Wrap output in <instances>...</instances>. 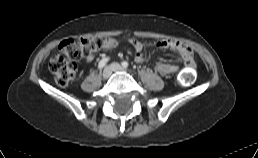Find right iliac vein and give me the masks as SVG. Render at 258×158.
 <instances>
[{
    "label": "right iliac vein",
    "mask_w": 258,
    "mask_h": 158,
    "mask_svg": "<svg viewBox=\"0 0 258 158\" xmlns=\"http://www.w3.org/2000/svg\"><path fill=\"white\" fill-rule=\"evenodd\" d=\"M111 73H112L111 67H106L102 73L103 79H108L111 76Z\"/></svg>",
    "instance_id": "1"
}]
</instances>
